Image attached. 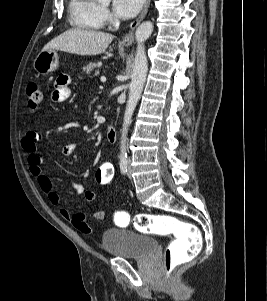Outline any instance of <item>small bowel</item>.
I'll use <instances>...</instances> for the list:
<instances>
[{
  "instance_id": "1",
  "label": "small bowel",
  "mask_w": 267,
  "mask_h": 301,
  "mask_svg": "<svg viewBox=\"0 0 267 301\" xmlns=\"http://www.w3.org/2000/svg\"><path fill=\"white\" fill-rule=\"evenodd\" d=\"M71 77L68 74H60L54 83V90L52 92V99L55 102L62 103L69 99L71 90L69 85ZM40 134L33 128H29L21 140V147L27 156L30 173L37 179L40 189L47 194L50 202L54 205L60 203V197L55 191L52 179L42 169V158L37 152V145L40 141ZM77 145L75 143L66 144L62 149L64 156H71L74 154ZM69 185L77 192L82 194L84 187L76 181H69ZM85 199L88 202H93L96 199V194L93 191L85 193ZM60 214L72 221L74 227L82 233H91L92 229L86 221V216L82 213L72 214L68 209L61 208ZM92 217L96 220H102L105 217L103 211L95 212Z\"/></svg>"
}]
</instances>
